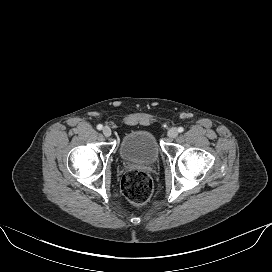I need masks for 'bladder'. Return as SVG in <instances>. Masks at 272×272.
Instances as JSON below:
<instances>
[{
    "label": "bladder",
    "mask_w": 272,
    "mask_h": 272,
    "mask_svg": "<svg viewBox=\"0 0 272 272\" xmlns=\"http://www.w3.org/2000/svg\"><path fill=\"white\" fill-rule=\"evenodd\" d=\"M119 155L128 162L152 164L160 156V146L151 131L135 130L122 138L119 145Z\"/></svg>",
    "instance_id": "1"
}]
</instances>
